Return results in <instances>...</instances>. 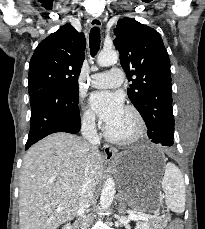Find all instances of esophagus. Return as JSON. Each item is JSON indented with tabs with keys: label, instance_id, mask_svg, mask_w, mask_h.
<instances>
[{
	"label": "esophagus",
	"instance_id": "esophagus-1",
	"mask_svg": "<svg viewBox=\"0 0 205 229\" xmlns=\"http://www.w3.org/2000/svg\"><path fill=\"white\" fill-rule=\"evenodd\" d=\"M90 25H91V27L100 28L102 26V22L99 18L95 17V18L91 19ZM116 151L117 150L114 147H112L111 145H109V144L104 145V154H105L106 159L114 158Z\"/></svg>",
	"mask_w": 205,
	"mask_h": 229
}]
</instances>
